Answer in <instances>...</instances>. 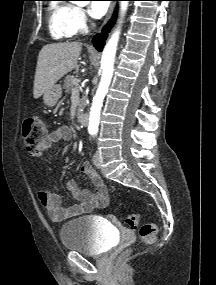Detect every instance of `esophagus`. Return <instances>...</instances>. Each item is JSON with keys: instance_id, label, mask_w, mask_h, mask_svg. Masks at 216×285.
Returning a JSON list of instances; mask_svg holds the SVG:
<instances>
[{"instance_id": "esophagus-1", "label": "esophagus", "mask_w": 216, "mask_h": 285, "mask_svg": "<svg viewBox=\"0 0 216 285\" xmlns=\"http://www.w3.org/2000/svg\"><path fill=\"white\" fill-rule=\"evenodd\" d=\"M114 4H111L110 8H109V11H108V14H107V17H106V20H105V23L110 19L112 13H113V10H114Z\"/></svg>"}]
</instances>
